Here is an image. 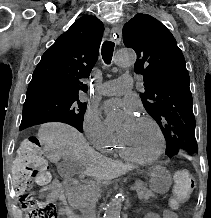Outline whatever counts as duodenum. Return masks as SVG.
Returning <instances> with one entry per match:
<instances>
[{
  "instance_id": "duodenum-1",
  "label": "duodenum",
  "mask_w": 211,
  "mask_h": 218,
  "mask_svg": "<svg viewBox=\"0 0 211 218\" xmlns=\"http://www.w3.org/2000/svg\"><path fill=\"white\" fill-rule=\"evenodd\" d=\"M78 185V180L76 178H67L62 182V187L65 191L70 192L74 190Z\"/></svg>"
}]
</instances>
